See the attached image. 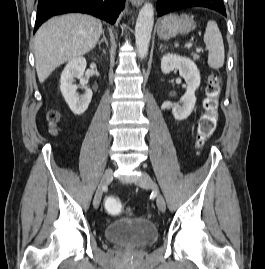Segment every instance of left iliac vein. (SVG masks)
Here are the masks:
<instances>
[{
    "instance_id": "4c4485c4",
    "label": "left iliac vein",
    "mask_w": 265,
    "mask_h": 269,
    "mask_svg": "<svg viewBox=\"0 0 265 269\" xmlns=\"http://www.w3.org/2000/svg\"><path fill=\"white\" fill-rule=\"evenodd\" d=\"M137 185L142 188H151L156 192V203L157 207L161 212H165L166 210V203L163 196L160 194L158 187L156 183L153 181V179L150 177V175L146 172H142L141 176L137 180Z\"/></svg>"
}]
</instances>
